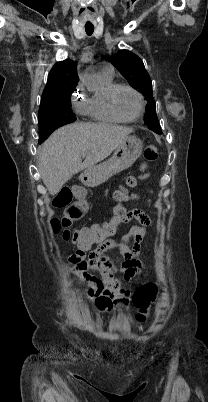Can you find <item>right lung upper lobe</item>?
Masks as SVG:
<instances>
[{"label":"right lung upper lobe","mask_w":208,"mask_h":402,"mask_svg":"<svg viewBox=\"0 0 208 402\" xmlns=\"http://www.w3.org/2000/svg\"><path fill=\"white\" fill-rule=\"evenodd\" d=\"M79 81L76 63L71 60L57 62L48 75L42 97L50 92L76 87Z\"/></svg>","instance_id":"obj_1"}]
</instances>
